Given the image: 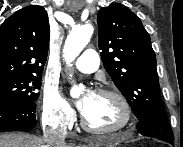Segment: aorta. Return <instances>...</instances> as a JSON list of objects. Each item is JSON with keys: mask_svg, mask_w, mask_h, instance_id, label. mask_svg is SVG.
I'll return each mask as SVG.
<instances>
[{"mask_svg": "<svg viewBox=\"0 0 183 147\" xmlns=\"http://www.w3.org/2000/svg\"><path fill=\"white\" fill-rule=\"evenodd\" d=\"M94 28L90 23L76 26L71 30L64 44L63 57L67 64H70L81 53L84 47L88 44ZM82 85H73L70 90V95L76 98L80 94Z\"/></svg>", "mask_w": 183, "mask_h": 147, "instance_id": "762f6f07", "label": "aorta"}]
</instances>
